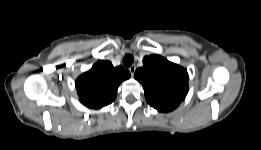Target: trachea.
<instances>
[{"instance_id": "1", "label": "trachea", "mask_w": 261, "mask_h": 150, "mask_svg": "<svg viewBox=\"0 0 261 150\" xmlns=\"http://www.w3.org/2000/svg\"><path fill=\"white\" fill-rule=\"evenodd\" d=\"M133 63V56L128 54L123 58V64L127 67L131 66Z\"/></svg>"}]
</instances>
